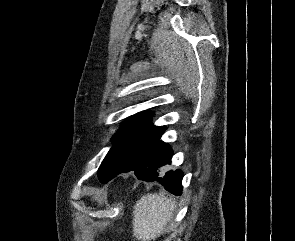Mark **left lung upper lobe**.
Instances as JSON below:
<instances>
[{"label":"left lung upper lobe","mask_w":295,"mask_h":241,"mask_svg":"<svg viewBox=\"0 0 295 241\" xmlns=\"http://www.w3.org/2000/svg\"><path fill=\"white\" fill-rule=\"evenodd\" d=\"M163 132L164 127H157L151 123V112L139 113L128 118L111 139L114 146L99 167V180L102 183L110 181L125 165L160 139Z\"/></svg>","instance_id":"1"}]
</instances>
